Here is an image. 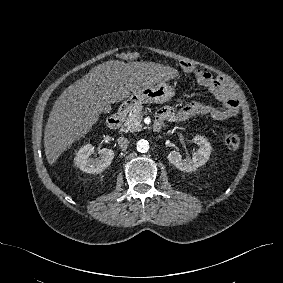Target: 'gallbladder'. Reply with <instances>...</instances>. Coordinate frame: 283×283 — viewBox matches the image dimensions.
Listing matches in <instances>:
<instances>
[{"mask_svg":"<svg viewBox=\"0 0 283 283\" xmlns=\"http://www.w3.org/2000/svg\"><path fill=\"white\" fill-rule=\"evenodd\" d=\"M104 113H109V111H108V110H105Z\"/></svg>","mask_w":283,"mask_h":283,"instance_id":"gallbladder-1","label":"gallbladder"}]
</instances>
